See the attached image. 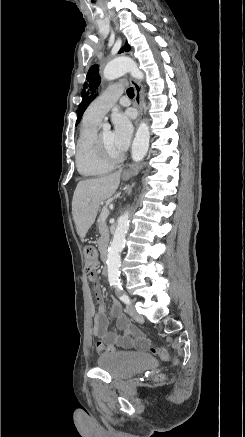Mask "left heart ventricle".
<instances>
[{
	"label": "left heart ventricle",
	"mask_w": 245,
	"mask_h": 437,
	"mask_svg": "<svg viewBox=\"0 0 245 437\" xmlns=\"http://www.w3.org/2000/svg\"><path fill=\"white\" fill-rule=\"evenodd\" d=\"M101 140L106 148V150L113 156L120 155V152L115 148L113 142V135L111 131H102Z\"/></svg>",
	"instance_id": "1"
}]
</instances>
